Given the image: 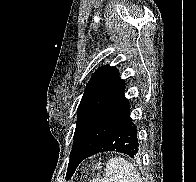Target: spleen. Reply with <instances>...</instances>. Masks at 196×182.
<instances>
[{"label":"spleen","instance_id":"1","mask_svg":"<svg viewBox=\"0 0 196 182\" xmlns=\"http://www.w3.org/2000/svg\"><path fill=\"white\" fill-rule=\"evenodd\" d=\"M91 182H142L135 167L121 157L110 159L104 177Z\"/></svg>","mask_w":196,"mask_h":182}]
</instances>
